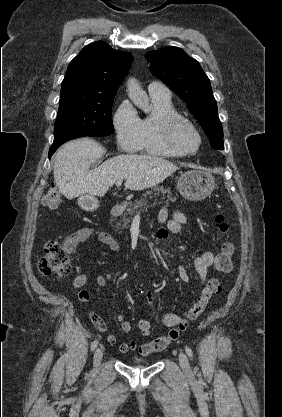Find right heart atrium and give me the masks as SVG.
<instances>
[{
	"label": "right heart atrium",
	"instance_id": "1",
	"mask_svg": "<svg viewBox=\"0 0 282 417\" xmlns=\"http://www.w3.org/2000/svg\"><path fill=\"white\" fill-rule=\"evenodd\" d=\"M117 142L122 149L134 152L141 149L142 136L140 121L128 102H123L113 118Z\"/></svg>",
	"mask_w": 282,
	"mask_h": 417
}]
</instances>
